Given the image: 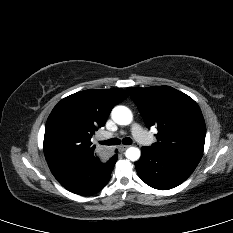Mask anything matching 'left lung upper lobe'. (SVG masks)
Wrapping results in <instances>:
<instances>
[{
    "label": "left lung upper lobe",
    "mask_w": 233,
    "mask_h": 233,
    "mask_svg": "<svg viewBox=\"0 0 233 233\" xmlns=\"http://www.w3.org/2000/svg\"><path fill=\"white\" fill-rule=\"evenodd\" d=\"M147 127L156 126L159 151L203 154L206 127L198 104L188 95L170 87H128Z\"/></svg>",
    "instance_id": "left-lung-upper-lobe-1"
}]
</instances>
